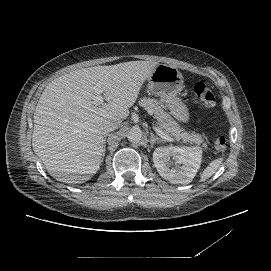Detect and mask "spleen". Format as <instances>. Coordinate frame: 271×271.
Instances as JSON below:
<instances>
[{
  "instance_id": "1",
  "label": "spleen",
  "mask_w": 271,
  "mask_h": 271,
  "mask_svg": "<svg viewBox=\"0 0 271 271\" xmlns=\"http://www.w3.org/2000/svg\"><path fill=\"white\" fill-rule=\"evenodd\" d=\"M222 161H223V158H218V159L213 160L209 164V166H207L204 169V171L202 172L200 181L204 182L207 179H209L217 171V169L220 167Z\"/></svg>"
}]
</instances>
